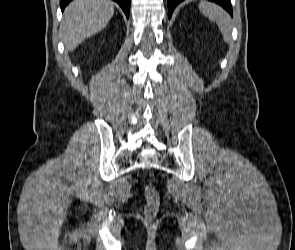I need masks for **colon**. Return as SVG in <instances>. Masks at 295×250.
<instances>
[{
  "instance_id": "1",
  "label": "colon",
  "mask_w": 295,
  "mask_h": 250,
  "mask_svg": "<svg viewBox=\"0 0 295 250\" xmlns=\"http://www.w3.org/2000/svg\"><path fill=\"white\" fill-rule=\"evenodd\" d=\"M145 198V215L148 218H153L158 212L160 206V197L156 188L150 183L145 187Z\"/></svg>"
}]
</instances>
